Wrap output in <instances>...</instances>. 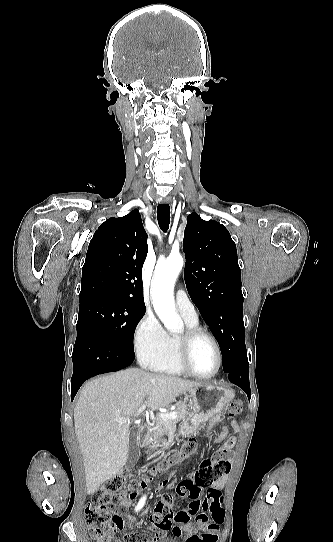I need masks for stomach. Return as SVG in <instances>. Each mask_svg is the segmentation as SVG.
<instances>
[{
	"instance_id": "obj_1",
	"label": "stomach",
	"mask_w": 333,
	"mask_h": 542,
	"mask_svg": "<svg viewBox=\"0 0 333 542\" xmlns=\"http://www.w3.org/2000/svg\"><path fill=\"white\" fill-rule=\"evenodd\" d=\"M190 398L192 416L189 422H184L180 430L187 439L199 436V426L206 424L214 416H221L223 410L234 398V392L231 388H221V386H210V384H200L197 388L189 390L186 394ZM146 440V436H142Z\"/></svg>"
}]
</instances>
